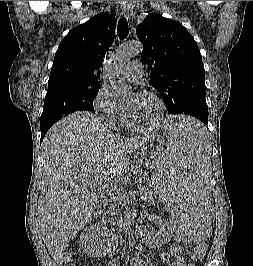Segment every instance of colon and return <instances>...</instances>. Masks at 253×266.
<instances>
[{"label":"colon","mask_w":253,"mask_h":266,"mask_svg":"<svg viewBox=\"0 0 253 266\" xmlns=\"http://www.w3.org/2000/svg\"><path fill=\"white\" fill-rule=\"evenodd\" d=\"M208 249L207 242H203L202 248H193L192 249V256L196 259H201L205 256Z\"/></svg>","instance_id":"colon-1"}]
</instances>
